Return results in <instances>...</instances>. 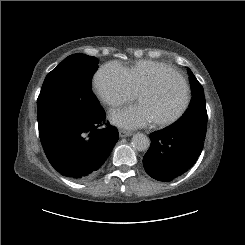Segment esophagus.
I'll return each instance as SVG.
<instances>
[{
    "label": "esophagus",
    "instance_id": "obj_1",
    "mask_svg": "<svg viewBox=\"0 0 245 245\" xmlns=\"http://www.w3.org/2000/svg\"><path fill=\"white\" fill-rule=\"evenodd\" d=\"M131 135H132V133L129 132V131H126V130H119V136H120L121 138L129 137V136H131Z\"/></svg>",
    "mask_w": 245,
    "mask_h": 245
}]
</instances>
